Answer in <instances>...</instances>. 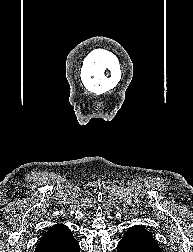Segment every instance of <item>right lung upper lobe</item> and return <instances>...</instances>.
I'll return each mask as SVG.
<instances>
[{
  "label": "right lung upper lobe",
  "instance_id": "cb5924a9",
  "mask_svg": "<svg viewBox=\"0 0 193 252\" xmlns=\"http://www.w3.org/2000/svg\"><path fill=\"white\" fill-rule=\"evenodd\" d=\"M61 229H67V227H66L65 225H62V224L55 225V226L51 227V228L44 234V236H47V235L53 233L54 231L61 230ZM44 236H43V237H44Z\"/></svg>",
  "mask_w": 193,
  "mask_h": 252
}]
</instances>
